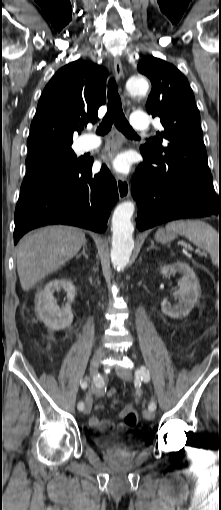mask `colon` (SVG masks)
Listing matches in <instances>:
<instances>
[{"label": "colon", "instance_id": "1", "mask_svg": "<svg viewBox=\"0 0 221 510\" xmlns=\"http://www.w3.org/2000/svg\"><path fill=\"white\" fill-rule=\"evenodd\" d=\"M115 394H116V390L114 388H110L108 391V395L110 397H114ZM114 403L118 404L119 400L115 399ZM137 421H138V414L136 413V411L132 410L126 415V418H125L126 425H128L130 427H134L136 425Z\"/></svg>", "mask_w": 221, "mask_h": 510}]
</instances>
